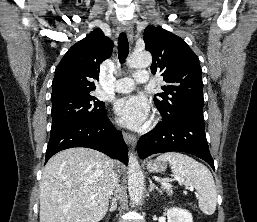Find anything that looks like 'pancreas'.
<instances>
[{
	"instance_id": "obj_1",
	"label": "pancreas",
	"mask_w": 257,
	"mask_h": 222,
	"mask_svg": "<svg viewBox=\"0 0 257 222\" xmlns=\"http://www.w3.org/2000/svg\"><path fill=\"white\" fill-rule=\"evenodd\" d=\"M162 189H163V190H166L169 195L172 194V190H171L169 187L163 186Z\"/></svg>"
}]
</instances>
